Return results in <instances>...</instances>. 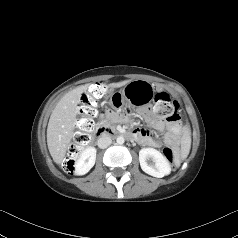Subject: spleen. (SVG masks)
Wrapping results in <instances>:
<instances>
[{
	"label": "spleen",
	"instance_id": "3e777b00",
	"mask_svg": "<svg viewBox=\"0 0 238 238\" xmlns=\"http://www.w3.org/2000/svg\"><path fill=\"white\" fill-rule=\"evenodd\" d=\"M190 143H191L190 133L189 131H187V136L184 140V146H183V153H182L183 158H185L189 152Z\"/></svg>",
	"mask_w": 238,
	"mask_h": 238
}]
</instances>
